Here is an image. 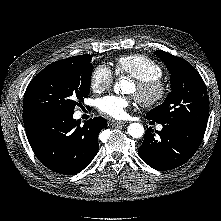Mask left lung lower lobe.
I'll return each instance as SVG.
<instances>
[{
  "mask_svg": "<svg viewBox=\"0 0 221 221\" xmlns=\"http://www.w3.org/2000/svg\"><path fill=\"white\" fill-rule=\"evenodd\" d=\"M162 125L163 129L156 131L158 136L153 130L147 129L138 153L152 168L170 170L184 164L194 155L205 129L190 124Z\"/></svg>",
  "mask_w": 221,
  "mask_h": 221,
  "instance_id": "left-lung-lower-lobe-1",
  "label": "left lung lower lobe"
}]
</instances>
